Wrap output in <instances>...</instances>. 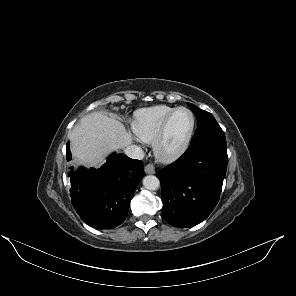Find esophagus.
<instances>
[{
  "instance_id": "obj_1",
  "label": "esophagus",
  "mask_w": 296,
  "mask_h": 296,
  "mask_svg": "<svg viewBox=\"0 0 296 296\" xmlns=\"http://www.w3.org/2000/svg\"><path fill=\"white\" fill-rule=\"evenodd\" d=\"M145 173L147 174H154L155 173V167L153 164L149 163L145 166Z\"/></svg>"
}]
</instances>
